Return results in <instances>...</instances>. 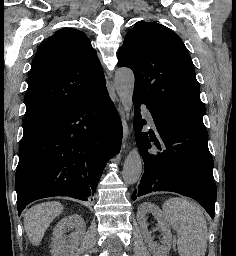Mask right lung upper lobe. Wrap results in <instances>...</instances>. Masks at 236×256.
<instances>
[{"label": "right lung upper lobe", "instance_id": "cb5924a9", "mask_svg": "<svg viewBox=\"0 0 236 256\" xmlns=\"http://www.w3.org/2000/svg\"><path fill=\"white\" fill-rule=\"evenodd\" d=\"M105 90L103 69L89 39L76 29H61L37 48L25 94L24 122H48Z\"/></svg>", "mask_w": 236, "mask_h": 256}]
</instances>
